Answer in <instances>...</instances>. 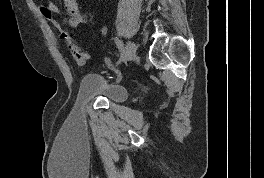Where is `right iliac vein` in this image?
I'll list each match as a JSON object with an SVG mask.
<instances>
[{
    "label": "right iliac vein",
    "mask_w": 264,
    "mask_h": 178,
    "mask_svg": "<svg viewBox=\"0 0 264 178\" xmlns=\"http://www.w3.org/2000/svg\"><path fill=\"white\" fill-rule=\"evenodd\" d=\"M134 51H135L134 43L131 41L127 42L126 47L121 56V62H127V60L134 53Z\"/></svg>",
    "instance_id": "63e3f726"
}]
</instances>
